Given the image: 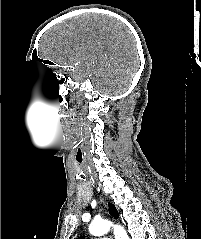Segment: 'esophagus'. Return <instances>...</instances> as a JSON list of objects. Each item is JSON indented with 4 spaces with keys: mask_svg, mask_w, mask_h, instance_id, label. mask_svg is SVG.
Listing matches in <instances>:
<instances>
[{
    "mask_svg": "<svg viewBox=\"0 0 201 239\" xmlns=\"http://www.w3.org/2000/svg\"><path fill=\"white\" fill-rule=\"evenodd\" d=\"M100 201H101V203H102L103 205H105V201H104L103 198H100Z\"/></svg>",
    "mask_w": 201,
    "mask_h": 239,
    "instance_id": "1",
    "label": "esophagus"
}]
</instances>
